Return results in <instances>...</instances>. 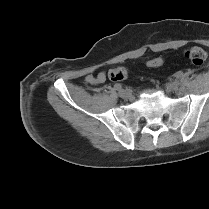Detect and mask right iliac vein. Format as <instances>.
Listing matches in <instances>:
<instances>
[{"label": "right iliac vein", "mask_w": 209, "mask_h": 209, "mask_svg": "<svg viewBox=\"0 0 209 209\" xmlns=\"http://www.w3.org/2000/svg\"><path fill=\"white\" fill-rule=\"evenodd\" d=\"M118 95H119L121 98H124V99L130 97V94H129L126 90H119Z\"/></svg>", "instance_id": "right-iliac-vein-1"}]
</instances>
